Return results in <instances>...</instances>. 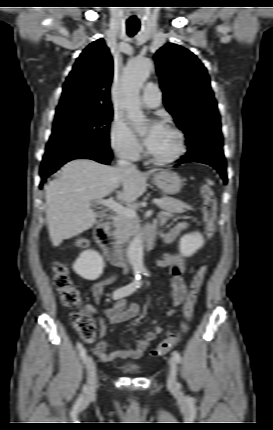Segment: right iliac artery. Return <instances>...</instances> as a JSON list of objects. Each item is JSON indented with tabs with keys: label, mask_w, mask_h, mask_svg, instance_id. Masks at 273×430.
Returning a JSON list of instances; mask_svg holds the SVG:
<instances>
[{
	"label": "right iliac artery",
	"mask_w": 273,
	"mask_h": 430,
	"mask_svg": "<svg viewBox=\"0 0 273 430\" xmlns=\"http://www.w3.org/2000/svg\"><path fill=\"white\" fill-rule=\"evenodd\" d=\"M141 285V275L136 274L135 279L130 284L123 286L121 288L116 289L113 292L112 298L114 300L120 299L122 297L128 296L132 294L136 289H138ZM77 348L80 352V356L84 362L87 360L86 349L83 347L81 343H77Z\"/></svg>",
	"instance_id": "right-iliac-artery-1"
}]
</instances>
